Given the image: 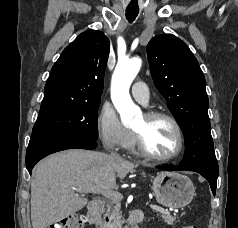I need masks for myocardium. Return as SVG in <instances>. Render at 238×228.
<instances>
[{
	"mask_svg": "<svg viewBox=\"0 0 238 228\" xmlns=\"http://www.w3.org/2000/svg\"><path fill=\"white\" fill-rule=\"evenodd\" d=\"M144 116L148 120L165 119V120L169 121L172 124V126L174 127V130L176 132L177 148H176L175 152L169 156L162 157V156L154 155L147 149L142 135L140 133H138L137 131L133 130V136L135 139V144H136V148H137L138 152L142 156H144L150 160L157 161V162H169V161H172V160H175L176 158H178L184 148V135H183L182 128H181L180 124L178 123V121L172 115H170L169 113L163 112V111H148L144 114Z\"/></svg>",
	"mask_w": 238,
	"mask_h": 228,
	"instance_id": "1",
	"label": "myocardium"
}]
</instances>
